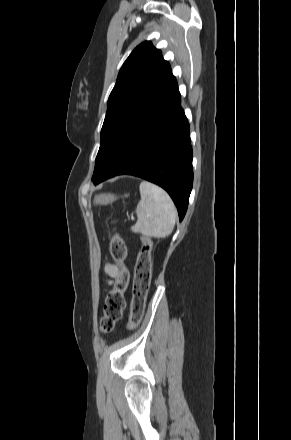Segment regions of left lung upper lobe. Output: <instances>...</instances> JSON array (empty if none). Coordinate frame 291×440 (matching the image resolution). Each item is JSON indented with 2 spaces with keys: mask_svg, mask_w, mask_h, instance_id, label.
<instances>
[{
  "mask_svg": "<svg viewBox=\"0 0 291 440\" xmlns=\"http://www.w3.org/2000/svg\"><path fill=\"white\" fill-rule=\"evenodd\" d=\"M171 67L160 50L145 41L124 62L109 96L95 160V176L131 123L155 100L172 80Z\"/></svg>",
  "mask_w": 291,
  "mask_h": 440,
  "instance_id": "5c2ea615",
  "label": "left lung upper lobe"
}]
</instances>
